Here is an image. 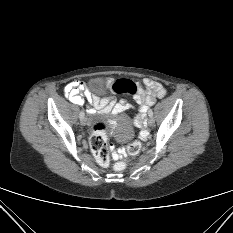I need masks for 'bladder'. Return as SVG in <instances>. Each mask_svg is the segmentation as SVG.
<instances>
[{
	"label": "bladder",
	"instance_id": "1",
	"mask_svg": "<svg viewBox=\"0 0 233 233\" xmlns=\"http://www.w3.org/2000/svg\"><path fill=\"white\" fill-rule=\"evenodd\" d=\"M92 89L96 92H100L104 89V81L102 79H94L91 83Z\"/></svg>",
	"mask_w": 233,
	"mask_h": 233
}]
</instances>
